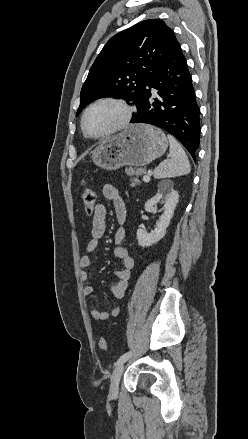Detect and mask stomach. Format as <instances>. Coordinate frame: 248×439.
Masks as SVG:
<instances>
[{
  "label": "stomach",
  "mask_w": 248,
  "mask_h": 439,
  "mask_svg": "<svg viewBox=\"0 0 248 439\" xmlns=\"http://www.w3.org/2000/svg\"><path fill=\"white\" fill-rule=\"evenodd\" d=\"M167 147L163 131L147 124H133L122 133L101 141L92 151V160L109 171L125 165L141 167L161 157Z\"/></svg>",
  "instance_id": "1"
}]
</instances>
